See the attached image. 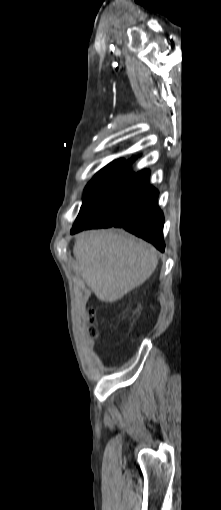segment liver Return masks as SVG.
I'll use <instances>...</instances> for the list:
<instances>
[{
	"mask_svg": "<svg viewBox=\"0 0 221 510\" xmlns=\"http://www.w3.org/2000/svg\"><path fill=\"white\" fill-rule=\"evenodd\" d=\"M73 254L87 286L110 303L143 284L158 264L153 246L111 229L79 234Z\"/></svg>",
	"mask_w": 221,
	"mask_h": 510,
	"instance_id": "6515ba94",
	"label": "liver"
}]
</instances>
